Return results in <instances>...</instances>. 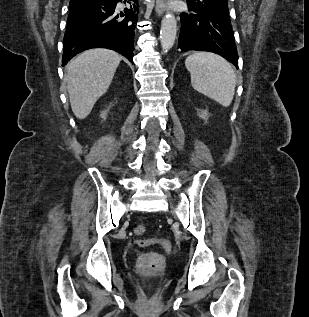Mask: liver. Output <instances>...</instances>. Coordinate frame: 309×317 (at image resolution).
Wrapping results in <instances>:
<instances>
[{
    "label": "liver",
    "mask_w": 309,
    "mask_h": 317,
    "mask_svg": "<svg viewBox=\"0 0 309 317\" xmlns=\"http://www.w3.org/2000/svg\"><path fill=\"white\" fill-rule=\"evenodd\" d=\"M121 55L108 49H91L72 59L67 69V89L72 111L86 118L96 101L107 91Z\"/></svg>",
    "instance_id": "obj_1"
}]
</instances>
